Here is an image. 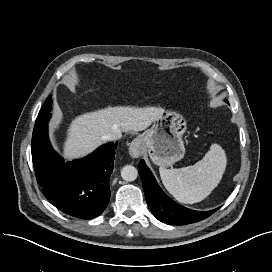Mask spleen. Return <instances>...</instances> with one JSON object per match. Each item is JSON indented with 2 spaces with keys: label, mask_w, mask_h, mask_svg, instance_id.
Here are the masks:
<instances>
[{
  "label": "spleen",
  "mask_w": 272,
  "mask_h": 272,
  "mask_svg": "<svg viewBox=\"0 0 272 272\" xmlns=\"http://www.w3.org/2000/svg\"><path fill=\"white\" fill-rule=\"evenodd\" d=\"M226 164L224 150L213 144L196 164L179 169L160 167L159 172L163 185L177 201L193 204L205 199L218 186Z\"/></svg>",
  "instance_id": "obj_1"
}]
</instances>
